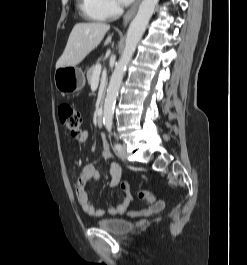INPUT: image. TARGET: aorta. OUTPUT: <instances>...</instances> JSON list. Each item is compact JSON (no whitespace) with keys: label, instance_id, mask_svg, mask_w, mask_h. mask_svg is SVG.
<instances>
[{"label":"aorta","instance_id":"762f6f07","mask_svg":"<svg viewBox=\"0 0 247 265\" xmlns=\"http://www.w3.org/2000/svg\"><path fill=\"white\" fill-rule=\"evenodd\" d=\"M159 0H142L138 12L129 25L124 51L115 66L107 89L103 111V124L112 125L114 107L125 69L132 59L138 42L141 40L149 20Z\"/></svg>","mask_w":247,"mask_h":265}]
</instances>
